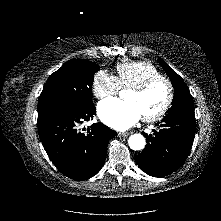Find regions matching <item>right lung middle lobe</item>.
<instances>
[{"label": "right lung middle lobe", "instance_id": "right-lung-middle-lobe-1", "mask_svg": "<svg viewBox=\"0 0 221 221\" xmlns=\"http://www.w3.org/2000/svg\"><path fill=\"white\" fill-rule=\"evenodd\" d=\"M99 66L85 59H71L51 74L38 100V112L63 104L92 101L94 74Z\"/></svg>", "mask_w": 221, "mask_h": 221}]
</instances>
